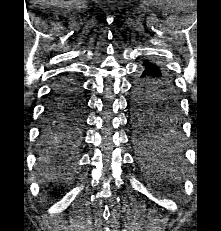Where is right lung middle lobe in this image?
Returning a JSON list of instances; mask_svg holds the SVG:
<instances>
[{"instance_id":"1","label":"right lung middle lobe","mask_w":221,"mask_h":231,"mask_svg":"<svg viewBox=\"0 0 221 231\" xmlns=\"http://www.w3.org/2000/svg\"><path fill=\"white\" fill-rule=\"evenodd\" d=\"M83 110L84 98L47 106L41 129L42 145L55 149L75 143L81 132Z\"/></svg>"}]
</instances>
